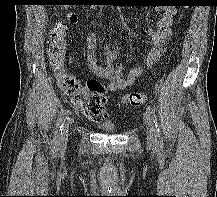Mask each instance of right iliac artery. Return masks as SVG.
<instances>
[{
    "label": "right iliac artery",
    "instance_id": "right-iliac-artery-1",
    "mask_svg": "<svg viewBox=\"0 0 217 197\" xmlns=\"http://www.w3.org/2000/svg\"><path fill=\"white\" fill-rule=\"evenodd\" d=\"M69 113H70V111L68 109H66V110L61 112V114L59 115V117L57 119L56 130H55L54 139H53L54 147L58 146V144L60 143V139H61L62 131H63V126H64L66 119L68 118Z\"/></svg>",
    "mask_w": 217,
    "mask_h": 197
}]
</instances>
